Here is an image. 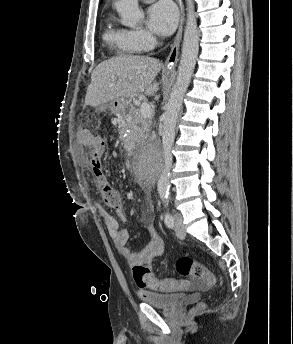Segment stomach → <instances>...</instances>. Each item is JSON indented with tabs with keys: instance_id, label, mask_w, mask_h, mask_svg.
<instances>
[{
	"instance_id": "1",
	"label": "stomach",
	"mask_w": 293,
	"mask_h": 344,
	"mask_svg": "<svg viewBox=\"0 0 293 344\" xmlns=\"http://www.w3.org/2000/svg\"><path fill=\"white\" fill-rule=\"evenodd\" d=\"M128 107H129V103L126 100L117 99V100L110 101L109 103L99 105L97 107V110L103 111L105 109H109L114 114L124 115Z\"/></svg>"
}]
</instances>
